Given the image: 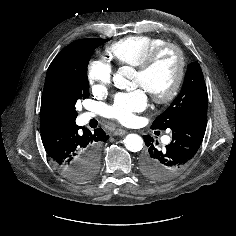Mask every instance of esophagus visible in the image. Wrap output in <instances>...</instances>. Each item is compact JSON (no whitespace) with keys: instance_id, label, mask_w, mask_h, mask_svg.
<instances>
[{"instance_id":"obj_1","label":"esophagus","mask_w":236,"mask_h":236,"mask_svg":"<svg viewBox=\"0 0 236 236\" xmlns=\"http://www.w3.org/2000/svg\"><path fill=\"white\" fill-rule=\"evenodd\" d=\"M126 133H127V131L124 130V129H121V128H118L113 132V134L116 135V136L117 135H125Z\"/></svg>"}]
</instances>
